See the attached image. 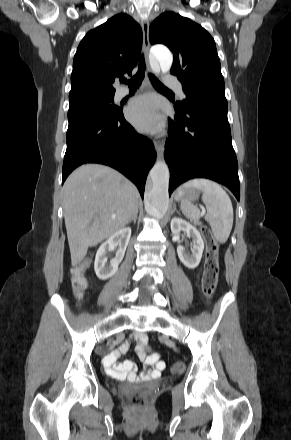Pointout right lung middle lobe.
<instances>
[{
    "label": "right lung middle lobe",
    "mask_w": 291,
    "mask_h": 440,
    "mask_svg": "<svg viewBox=\"0 0 291 440\" xmlns=\"http://www.w3.org/2000/svg\"><path fill=\"white\" fill-rule=\"evenodd\" d=\"M114 95L111 96H86L70 101L69 111L78 108H90L105 113H117L120 107L113 103Z\"/></svg>",
    "instance_id": "dd1d6c3e"
}]
</instances>
